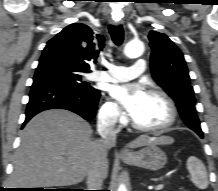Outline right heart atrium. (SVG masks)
Wrapping results in <instances>:
<instances>
[{"label":"right heart atrium","mask_w":218,"mask_h":191,"mask_svg":"<svg viewBox=\"0 0 218 191\" xmlns=\"http://www.w3.org/2000/svg\"><path fill=\"white\" fill-rule=\"evenodd\" d=\"M100 121L110 127H119L125 120V114L121 108L113 101L107 100L99 112Z\"/></svg>","instance_id":"right-heart-atrium-1"}]
</instances>
